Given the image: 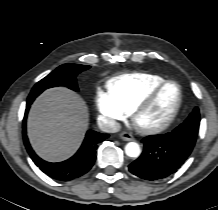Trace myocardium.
Here are the masks:
<instances>
[{
  "label": "myocardium",
  "mask_w": 218,
  "mask_h": 210,
  "mask_svg": "<svg viewBox=\"0 0 218 210\" xmlns=\"http://www.w3.org/2000/svg\"><path fill=\"white\" fill-rule=\"evenodd\" d=\"M170 84H174L178 87L179 91V98L177 101V104L175 105L172 113L169 115V117L161 124L152 126V127H141L137 120L138 117L145 111L147 110L152 104L155 102L161 91ZM183 105V89L182 86L174 80H165L156 87H154L131 111V119L132 123L135 127V129L144 135H154L161 133L168 129L177 119L180 110Z\"/></svg>",
  "instance_id": "f54148a6"
}]
</instances>
